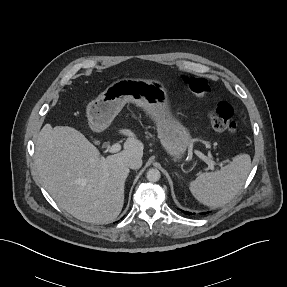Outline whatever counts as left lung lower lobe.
<instances>
[{
  "instance_id": "1",
  "label": "left lung lower lobe",
  "mask_w": 287,
  "mask_h": 287,
  "mask_svg": "<svg viewBox=\"0 0 287 287\" xmlns=\"http://www.w3.org/2000/svg\"><path fill=\"white\" fill-rule=\"evenodd\" d=\"M185 214H188V215H190L191 213H190V212H185Z\"/></svg>"
}]
</instances>
